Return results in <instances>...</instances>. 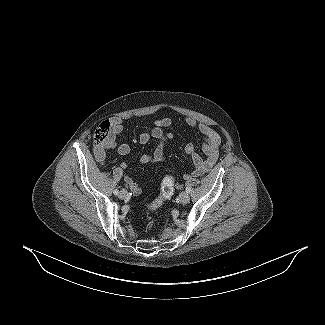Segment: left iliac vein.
I'll return each mask as SVG.
<instances>
[{
	"instance_id": "obj_1",
	"label": "left iliac vein",
	"mask_w": 325,
	"mask_h": 325,
	"mask_svg": "<svg viewBox=\"0 0 325 325\" xmlns=\"http://www.w3.org/2000/svg\"><path fill=\"white\" fill-rule=\"evenodd\" d=\"M190 200V196L188 193L186 192H182L180 193L179 195V201L182 203V204H187Z\"/></svg>"
}]
</instances>
